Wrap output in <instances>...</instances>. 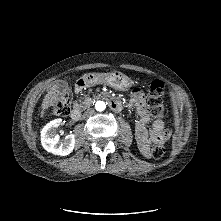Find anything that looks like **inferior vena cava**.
<instances>
[{"mask_svg": "<svg viewBox=\"0 0 221 221\" xmlns=\"http://www.w3.org/2000/svg\"><path fill=\"white\" fill-rule=\"evenodd\" d=\"M93 114H94V109L90 108L85 111V113L83 114V117L88 118V117L92 116Z\"/></svg>", "mask_w": 221, "mask_h": 221, "instance_id": "602c4592", "label": "inferior vena cava"}]
</instances>
